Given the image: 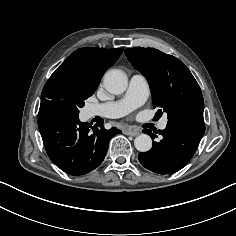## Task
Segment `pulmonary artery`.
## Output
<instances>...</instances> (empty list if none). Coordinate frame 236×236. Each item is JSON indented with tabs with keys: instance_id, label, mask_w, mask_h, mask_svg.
Segmentation results:
<instances>
[{
	"instance_id": "e3ab8cb5",
	"label": "pulmonary artery",
	"mask_w": 236,
	"mask_h": 236,
	"mask_svg": "<svg viewBox=\"0 0 236 236\" xmlns=\"http://www.w3.org/2000/svg\"><path fill=\"white\" fill-rule=\"evenodd\" d=\"M148 96L149 87L147 79L144 75L137 73L131 76L128 89L121 100L91 104L86 108L87 115L88 117L119 118L141 106ZM167 122V118L164 117L159 122V129H165Z\"/></svg>"
}]
</instances>
